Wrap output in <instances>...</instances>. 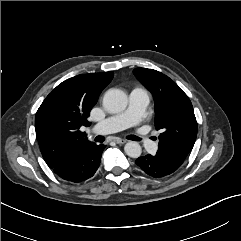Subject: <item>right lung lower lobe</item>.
<instances>
[{
	"label": "right lung lower lobe",
	"instance_id": "1",
	"mask_svg": "<svg viewBox=\"0 0 241 241\" xmlns=\"http://www.w3.org/2000/svg\"><path fill=\"white\" fill-rule=\"evenodd\" d=\"M104 148L105 145L95 143L71 148L49 167L63 180L74 183L85 181L98 169Z\"/></svg>",
	"mask_w": 241,
	"mask_h": 241
}]
</instances>
